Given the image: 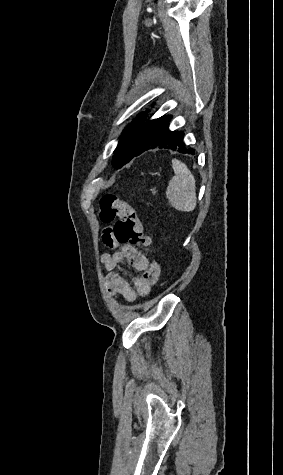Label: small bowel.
Returning <instances> with one entry per match:
<instances>
[{"mask_svg": "<svg viewBox=\"0 0 283 475\" xmlns=\"http://www.w3.org/2000/svg\"><path fill=\"white\" fill-rule=\"evenodd\" d=\"M115 226L114 219H108L101 225L100 242L114 250L113 252L105 251L101 255V261L108 271L105 282L112 296L132 303L137 298L149 294L151 287L160 277L161 266L155 259L143 256L141 251L136 250V246L120 244L114 236ZM125 260L140 274L131 275L123 265ZM126 276H130L131 281H128Z\"/></svg>", "mask_w": 283, "mask_h": 475, "instance_id": "obj_1", "label": "small bowel"}]
</instances>
